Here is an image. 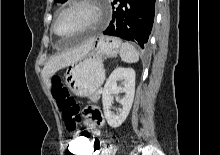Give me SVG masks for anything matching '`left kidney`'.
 I'll use <instances>...</instances> for the list:
<instances>
[{"mask_svg": "<svg viewBox=\"0 0 220 155\" xmlns=\"http://www.w3.org/2000/svg\"><path fill=\"white\" fill-rule=\"evenodd\" d=\"M123 80V86H117V81ZM120 92L125 93V96L119 99L122 108L117 114L111 112L112 94L118 95ZM135 94V71L132 68H116L107 79L103 92L102 103L104 115L107 123L112 128L119 127L127 118L132 107Z\"/></svg>", "mask_w": 220, "mask_h": 155, "instance_id": "1", "label": "left kidney"}]
</instances>
